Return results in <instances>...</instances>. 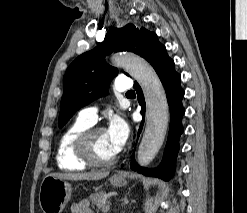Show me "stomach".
Instances as JSON below:
<instances>
[{"instance_id":"1","label":"stomach","mask_w":247,"mask_h":213,"mask_svg":"<svg viewBox=\"0 0 247 213\" xmlns=\"http://www.w3.org/2000/svg\"><path fill=\"white\" fill-rule=\"evenodd\" d=\"M114 187H122L127 181L122 174L110 178ZM72 186L67 181L53 176H46L39 191V205L43 213H61L71 198Z\"/></svg>"}]
</instances>
